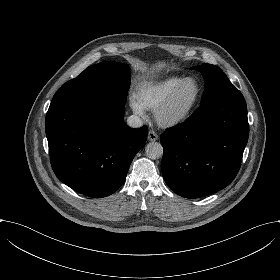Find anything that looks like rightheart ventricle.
Returning <instances> with one entry per match:
<instances>
[{
	"label": "right heart ventricle",
	"instance_id": "e07e8e85",
	"mask_svg": "<svg viewBox=\"0 0 280 280\" xmlns=\"http://www.w3.org/2000/svg\"><path fill=\"white\" fill-rule=\"evenodd\" d=\"M183 78L172 75L158 81H142L136 87L135 98L143 108L156 111L168 101Z\"/></svg>",
	"mask_w": 280,
	"mask_h": 280
}]
</instances>
